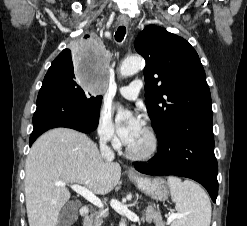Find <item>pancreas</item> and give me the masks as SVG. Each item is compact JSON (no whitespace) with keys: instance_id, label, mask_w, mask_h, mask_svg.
Returning <instances> with one entry per match:
<instances>
[{"instance_id":"pancreas-1","label":"pancreas","mask_w":247,"mask_h":226,"mask_svg":"<svg viewBox=\"0 0 247 226\" xmlns=\"http://www.w3.org/2000/svg\"><path fill=\"white\" fill-rule=\"evenodd\" d=\"M150 213V219H153L155 222H160V218L158 217V214L153 211L152 209L148 210ZM106 216L102 213H97L95 216H91L87 219L86 223L87 226H100L103 223V218ZM146 220L148 221L149 218L146 217Z\"/></svg>"}]
</instances>
